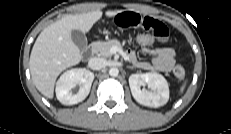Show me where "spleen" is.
I'll list each match as a JSON object with an SVG mask.
<instances>
[{"label":"spleen","instance_id":"3e777b00","mask_svg":"<svg viewBox=\"0 0 231 134\" xmlns=\"http://www.w3.org/2000/svg\"><path fill=\"white\" fill-rule=\"evenodd\" d=\"M185 85H186V81H185L184 84L181 86V88H180V93L183 92V90H184V88H185Z\"/></svg>","mask_w":231,"mask_h":134}]
</instances>
